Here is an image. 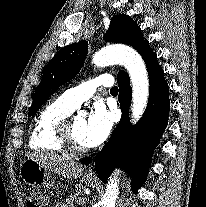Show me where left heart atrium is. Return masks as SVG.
<instances>
[{
    "label": "left heart atrium",
    "instance_id": "39dd6f15",
    "mask_svg": "<svg viewBox=\"0 0 206 207\" xmlns=\"http://www.w3.org/2000/svg\"><path fill=\"white\" fill-rule=\"evenodd\" d=\"M114 124V112L97 103L86 122L84 139L87 147H95L106 140Z\"/></svg>",
    "mask_w": 206,
    "mask_h": 207
}]
</instances>
